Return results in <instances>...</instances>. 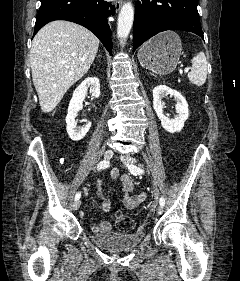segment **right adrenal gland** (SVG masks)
I'll use <instances>...</instances> for the list:
<instances>
[{"instance_id": "2a0ac1e0", "label": "right adrenal gland", "mask_w": 240, "mask_h": 281, "mask_svg": "<svg viewBox=\"0 0 240 281\" xmlns=\"http://www.w3.org/2000/svg\"><path fill=\"white\" fill-rule=\"evenodd\" d=\"M98 57H102V55L101 54H99V56Z\"/></svg>"}]
</instances>
